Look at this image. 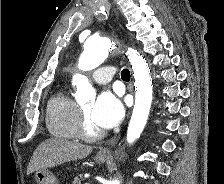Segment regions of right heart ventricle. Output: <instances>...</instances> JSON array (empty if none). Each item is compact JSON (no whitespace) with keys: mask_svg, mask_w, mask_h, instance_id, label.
Listing matches in <instances>:
<instances>
[{"mask_svg":"<svg viewBox=\"0 0 224 184\" xmlns=\"http://www.w3.org/2000/svg\"><path fill=\"white\" fill-rule=\"evenodd\" d=\"M78 117L79 106L66 91H58L51 96L46 106V126L51 135L76 139Z\"/></svg>","mask_w":224,"mask_h":184,"instance_id":"right-heart-ventricle-1","label":"right heart ventricle"}]
</instances>
